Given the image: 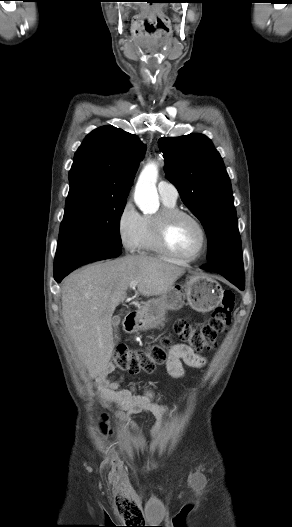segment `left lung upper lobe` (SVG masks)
<instances>
[{
  "instance_id": "obj_1",
  "label": "left lung upper lobe",
  "mask_w": 292,
  "mask_h": 527,
  "mask_svg": "<svg viewBox=\"0 0 292 527\" xmlns=\"http://www.w3.org/2000/svg\"><path fill=\"white\" fill-rule=\"evenodd\" d=\"M166 178L198 217L208 237V261L242 259L231 182L210 139L202 134L160 138Z\"/></svg>"
}]
</instances>
